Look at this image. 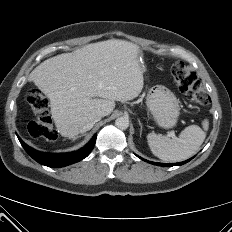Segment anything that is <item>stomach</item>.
<instances>
[{
  "instance_id": "0dacf381",
  "label": "stomach",
  "mask_w": 232,
  "mask_h": 232,
  "mask_svg": "<svg viewBox=\"0 0 232 232\" xmlns=\"http://www.w3.org/2000/svg\"><path fill=\"white\" fill-rule=\"evenodd\" d=\"M146 105L158 126L169 129L177 124L180 115L179 101L168 88H151L147 94Z\"/></svg>"
}]
</instances>
